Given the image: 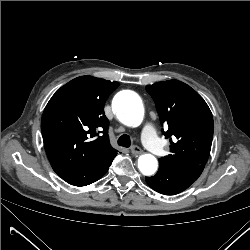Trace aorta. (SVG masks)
I'll return each mask as SVG.
<instances>
[{
  "label": "aorta",
  "instance_id": "obj_1",
  "mask_svg": "<svg viewBox=\"0 0 250 250\" xmlns=\"http://www.w3.org/2000/svg\"><path fill=\"white\" fill-rule=\"evenodd\" d=\"M112 109L121 114L122 121L128 125L139 124L144 116V107L140 97L132 91L118 93L112 103ZM158 167L157 159L151 154L141 155L138 159V168L143 175L154 174Z\"/></svg>",
  "mask_w": 250,
  "mask_h": 250
}]
</instances>
